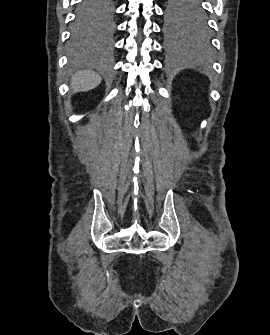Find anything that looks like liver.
I'll list each match as a JSON object with an SVG mask.
<instances>
[{"label": "liver", "mask_w": 270, "mask_h": 335, "mask_svg": "<svg viewBox=\"0 0 270 335\" xmlns=\"http://www.w3.org/2000/svg\"><path fill=\"white\" fill-rule=\"evenodd\" d=\"M102 78L95 74V72H77L75 78L72 80L73 90H79V92H87L99 86Z\"/></svg>", "instance_id": "liver-1"}]
</instances>
